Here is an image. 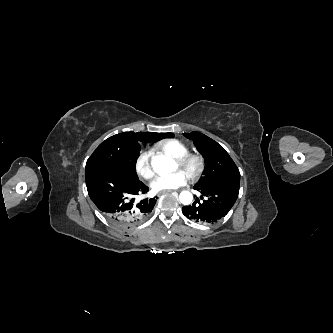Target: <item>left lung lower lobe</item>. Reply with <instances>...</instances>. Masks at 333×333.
<instances>
[{"label": "left lung lower lobe", "mask_w": 333, "mask_h": 333, "mask_svg": "<svg viewBox=\"0 0 333 333\" xmlns=\"http://www.w3.org/2000/svg\"><path fill=\"white\" fill-rule=\"evenodd\" d=\"M201 192L202 196L207 199L200 202L197 198L192 205L182 208L183 214L191 220L199 223H215L225 217L230 211L239 194V184H226L212 188H195ZM227 194L229 199L227 202H217L218 198ZM200 197L203 199V197Z\"/></svg>", "instance_id": "1"}]
</instances>
